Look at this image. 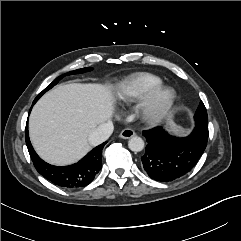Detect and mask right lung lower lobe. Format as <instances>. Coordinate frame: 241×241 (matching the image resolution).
I'll use <instances>...</instances> for the list:
<instances>
[{"label": "right lung lower lobe", "mask_w": 241, "mask_h": 241, "mask_svg": "<svg viewBox=\"0 0 241 241\" xmlns=\"http://www.w3.org/2000/svg\"><path fill=\"white\" fill-rule=\"evenodd\" d=\"M35 102L36 101H34L33 104H35ZM25 140L36 170L43 177L58 186L69 189L84 187L93 181L94 177L102 168V149L106 142L94 148L79 162L70 166L58 167L43 161L33 150L29 140L28 122L26 125Z\"/></svg>", "instance_id": "98d812e1"}]
</instances>
